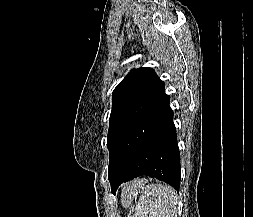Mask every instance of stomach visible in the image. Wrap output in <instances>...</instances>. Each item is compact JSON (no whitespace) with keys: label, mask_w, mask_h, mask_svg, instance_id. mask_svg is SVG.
I'll list each match as a JSON object with an SVG mask.
<instances>
[{"label":"stomach","mask_w":253,"mask_h":217,"mask_svg":"<svg viewBox=\"0 0 253 217\" xmlns=\"http://www.w3.org/2000/svg\"><path fill=\"white\" fill-rule=\"evenodd\" d=\"M137 194H138V191L134 192L131 196V198H129L128 202H125V203H122L123 206L128 209V216L127 217H133L131 216V214L133 213L134 211V208H135V204H137Z\"/></svg>","instance_id":"1"}]
</instances>
